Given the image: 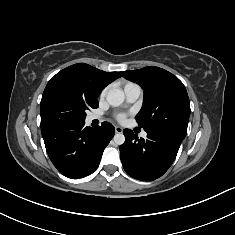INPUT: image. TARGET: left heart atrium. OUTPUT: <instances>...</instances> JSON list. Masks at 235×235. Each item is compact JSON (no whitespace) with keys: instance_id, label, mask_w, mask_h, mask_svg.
I'll use <instances>...</instances> for the list:
<instances>
[{"instance_id":"1","label":"left heart atrium","mask_w":235,"mask_h":235,"mask_svg":"<svg viewBox=\"0 0 235 235\" xmlns=\"http://www.w3.org/2000/svg\"><path fill=\"white\" fill-rule=\"evenodd\" d=\"M117 119H118L119 121H123V120L125 119V115H124V114H118V115H117Z\"/></svg>"}]
</instances>
